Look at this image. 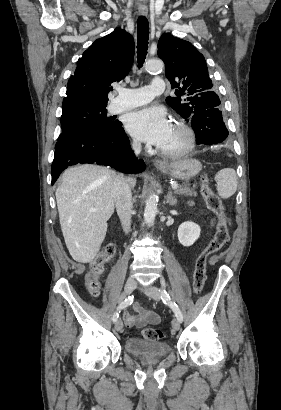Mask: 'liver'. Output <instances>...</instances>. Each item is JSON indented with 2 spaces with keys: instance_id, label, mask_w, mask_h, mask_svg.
Instances as JSON below:
<instances>
[{
  "instance_id": "obj_1",
  "label": "liver",
  "mask_w": 281,
  "mask_h": 410,
  "mask_svg": "<svg viewBox=\"0 0 281 410\" xmlns=\"http://www.w3.org/2000/svg\"><path fill=\"white\" fill-rule=\"evenodd\" d=\"M116 173L109 168L84 164L67 169L56 189L61 230L72 258L89 263L105 238L107 221L114 213ZM130 186L136 180L129 178ZM91 208L97 209L90 211Z\"/></svg>"
}]
</instances>
